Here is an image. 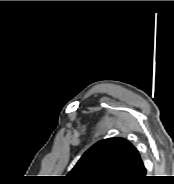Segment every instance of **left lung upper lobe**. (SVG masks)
<instances>
[{
    "instance_id": "1",
    "label": "left lung upper lobe",
    "mask_w": 174,
    "mask_h": 184,
    "mask_svg": "<svg viewBox=\"0 0 174 184\" xmlns=\"http://www.w3.org/2000/svg\"><path fill=\"white\" fill-rule=\"evenodd\" d=\"M138 158L126 139H104L88 149L67 176L71 184H127Z\"/></svg>"
}]
</instances>
